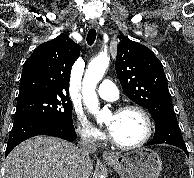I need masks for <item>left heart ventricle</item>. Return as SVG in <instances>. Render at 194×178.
<instances>
[{
    "mask_svg": "<svg viewBox=\"0 0 194 178\" xmlns=\"http://www.w3.org/2000/svg\"><path fill=\"white\" fill-rule=\"evenodd\" d=\"M107 124L112 126L111 134L123 144L139 142L146 133V123L136 111H127L121 114H112L107 119Z\"/></svg>",
    "mask_w": 194,
    "mask_h": 178,
    "instance_id": "obj_1",
    "label": "left heart ventricle"
}]
</instances>
